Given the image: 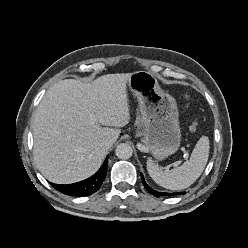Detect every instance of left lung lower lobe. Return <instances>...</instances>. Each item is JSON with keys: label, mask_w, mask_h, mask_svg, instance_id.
<instances>
[{"label": "left lung lower lobe", "mask_w": 248, "mask_h": 248, "mask_svg": "<svg viewBox=\"0 0 248 248\" xmlns=\"http://www.w3.org/2000/svg\"><path fill=\"white\" fill-rule=\"evenodd\" d=\"M141 178H142V182L144 184V187L146 188L147 191H149L152 195L156 196V197H160V196H173V195H178V194H184L185 192H176V193H164V192H158L153 190L150 186L147 185V183L144 180V176L141 173Z\"/></svg>", "instance_id": "1"}]
</instances>
